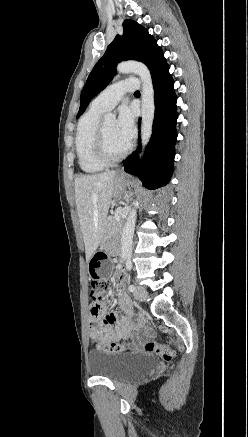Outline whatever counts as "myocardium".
Here are the masks:
<instances>
[{"mask_svg":"<svg viewBox=\"0 0 248 437\" xmlns=\"http://www.w3.org/2000/svg\"><path fill=\"white\" fill-rule=\"evenodd\" d=\"M132 149V144L129 143L127 147L121 151L117 155H111L106 146V138H105V131H104V122H100L99 126L97 128L96 132V139H95V155L97 159L103 163L105 166H111L119 162L121 159H123Z\"/></svg>","mask_w":248,"mask_h":437,"instance_id":"f54148a6","label":"myocardium"}]
</instances>
